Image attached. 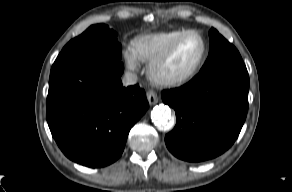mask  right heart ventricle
<instances>
[{
  "label": "right heart ventricle",
  "mask_w": 292,
  "mask_h": 192,
  "mask_svg": "<svg viewBox=\"0 0 292 192\" xmlns=\"http://www.w3.org/2000/svg\"><path fill=\"white\" fill-rule=\"evenodd\" d=\"M185 29H174L136 37L132 42V50L136 58L145 63H152Z\"/></svg>",
  "instance_id": "1"
}]
</instances>
